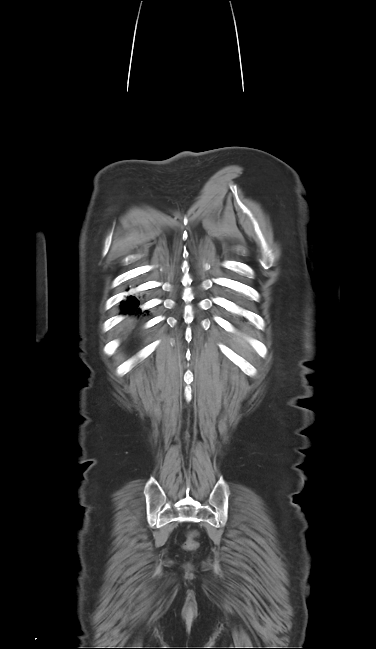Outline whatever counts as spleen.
<instances>
[{
  "mask_svg": "<svg viewBox=\"0 0 376 649\" xmlns=\"http://www.w3.org/2000/svg\"><path fill=\"white\" fill-rule=\"evenodd\" d=\"M241 343H242V346H245L243 341H241Z\"/></svg>",
  "mask_w": 376,
  "mask_h": 649,
  "instance_id": "1",
  "label": "spleen"
}]
</instances>
